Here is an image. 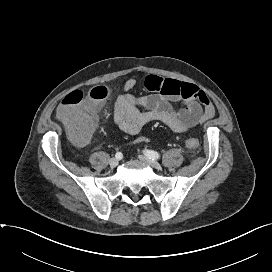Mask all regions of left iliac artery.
<instances>
[{
    "instance_id": "obj_1",
    "label": "left iliac artery",
    "mask_w": 272,
    "mask_h": 272,
    "mask_svg": "<svg viewBox=\"0 0 272 272\" xmlns=\"http://www.w3.org/2000/svg\"><path fill=\"white\" fill-rule=\"evenodd\" d=\"M144 154L153 160L160 158V154L156 151H153V150H145Z\"/></svg>"
}]
</instances>
